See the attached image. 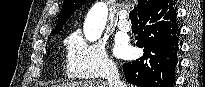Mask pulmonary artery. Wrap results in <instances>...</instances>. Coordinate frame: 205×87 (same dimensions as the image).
I'll use <instances>...</instances> for the list:
<instances>
[{
	"label": "pulmonary artery",
	"instance_id": "obj_1",
	"mask_svg": "<svg viewBox=\"0 0 205 87\" xmlns=\"http://www.w3.org/2000/svg\"><path fill=\"white\" fill-rule=\"evenodd\" d=\"M117 26L120 30L128 32L131 30V23L127 20V12L121 11L118 16Z\"/></svg>",
	"mask_w": 205,
	"mask_h": 87
}]
</instances>
